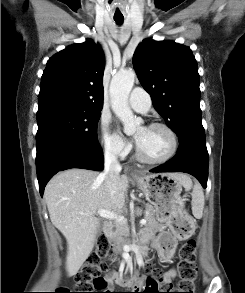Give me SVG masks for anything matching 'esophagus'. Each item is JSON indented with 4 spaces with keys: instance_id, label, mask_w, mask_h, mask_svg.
I'll return each instance as SVG.
<instances>
[{
    "instance_id": "34e87169",
    "label": "esophagus",
    "mask_w": 245,
    "mask_h": 293,
    "mask_svg": "<svg viewBox=\"0 0 245 293\" xmlns=\"http://www.w3.org/2000/svg\"><path fill=\"white\" fill-rule=\"evenodd\" d=\"M131 174H132L133 176H136V175H137V172H136V171H132Z\"/></svg>"
}]
</instances>
